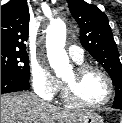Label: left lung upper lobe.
<instances>
[{"instance_id":"obj_1","label":"left lung upper lobe","mask_w":122,"mask_h":123,"mask_svg":"<svg viewBox=\"0 0 122 123\" xmlns=\"http://www.w3.org/2000/svg\"><path fill=\"white\" fill-rule=\"evenodd\" d=\"M70 12L80 27L83 47L104 67L115 84V102H122V65L108 17L84 0H68Z\"/></svg>"}]
</instances>
